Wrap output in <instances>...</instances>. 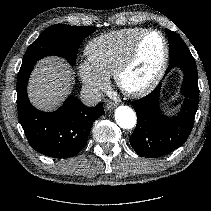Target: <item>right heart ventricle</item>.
Instances as JSON below:
<instances>
[{
  "instance_id": "1",
  "label": "right heart ventricle",
  "mask_w": 211,
  "mask_h": 211,
  "mask_svg": "<svg viewBox=\"0 0 211 211\" xmlns=\"http://www.w3.org/2000/svg\"><path fill=\"white\" fill-rule=\"evenodd\" d=\"M144 28H128L93 38L86 46L88 61L106 78L114 73Z\"/></svg>"
}]
</instances>
